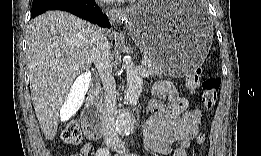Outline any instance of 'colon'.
Masks as SVG:
<instances>
[{
  "instance_id": "obj_1",
  "label": "colon",
  "mask_w": 261,
  "mask_h": 156,
  "mask_svg": "<svg viewBox=\"0 0 261 156\" xmlns=\"http://www.w3.org/2000/svg\"><path fill=\"white\" fill-rule=\"evenodd\" d=\"M201 71L199 68L192 71L187 78V89L190 92H195L199 87L202 89V104L207 111H211L217 101L218 91L221 86L219 77H207L200 81ZM85 134L90 138H98L101 134L100 128L95 125H86ZM63 143L70 146H79L82 142V129L77 122L69 123L61 134ZM205 142V135L200 133L196 137L197 145H202Z\"/></svg>"
}]
</instances>
